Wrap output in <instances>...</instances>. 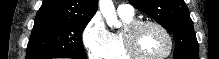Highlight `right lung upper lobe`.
Here are the masks:
<instances>
[{
  "instance_id": "1",
  "label": "right lung upper lobe",
  "mask_w": 219,
  "mask_h": 59,
  "mask_svg": "<svg viewBox=\"0 0 219 59\" xmlns=\"http://www.w3.org/2000/svg\"><path fill=\"white\" fill-rule=\"evenodd\" d=\"M98 8V0H44L36 17L56 16L90 19Z\"/></svg>"
}]
</instances>
